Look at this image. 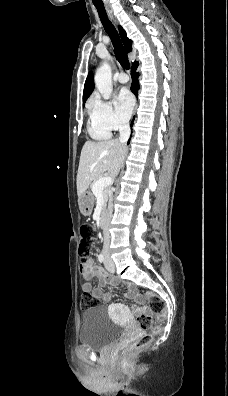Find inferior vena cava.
I'll list each match as a JSON object with an SVG mask.
<instances>
[{
    "instance_id": "602c4592",
    "label": "inferior vena cava",
    "mask_w": 228,
    "mask_h": 396,
    "mask_svg": "<svg viewBox=\"0 0 228 396\" xmlns=\"http://www.w3.org/2000/svg\"><path fill=\"white\" fill-rule=\"evenodd\" d=\"M130 126L128 121H122L119 125V141L123 144H125L129 137H130ZM112 195H110L109 203H108V213L106 217V226L104 228L103 234H104V246L103 250L106 255L109 254L110 251V233H109V222L112 217V211H113V203H112Z\"/></svg>"
}]
</instances>
